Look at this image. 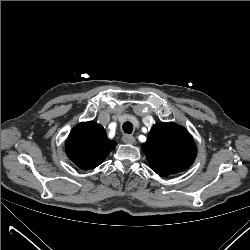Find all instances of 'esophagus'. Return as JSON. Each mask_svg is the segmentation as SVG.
Returning a JSON list of instances; mask_svg holds the SVG:
<instances>
[{
	"mask_svg": "<svg viewBox=\"0 0 250 250\" xmlns=\"http://www.w3.org/2000/svg\"><path fill=\"white\" fill-rule=\"evenodd\" d=\"M122 140L126 144H133V143H135V138L133 136H131V135H124L122 137Z\"/></svg>",
	"mask_w": 250,
	"mask_h": 250,
	"instance_id": "1",
	"label": "esophagus"
}]
</instances>
